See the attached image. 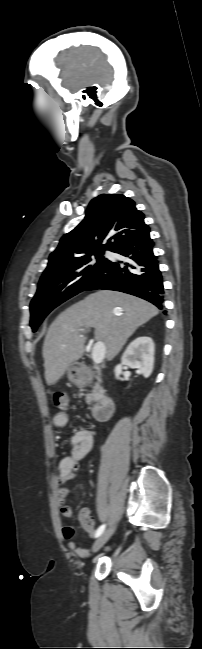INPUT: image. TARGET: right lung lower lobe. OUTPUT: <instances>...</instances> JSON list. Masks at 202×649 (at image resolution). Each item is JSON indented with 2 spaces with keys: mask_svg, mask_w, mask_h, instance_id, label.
<instances>
[{
  "mask_svg": "<svg viewBox=\"0 0 202 649\" xmlns=\"http://www.w3.org/2000/svg\"><path fill=\"white\" fill-rule=\"evenodd\" d=\"M153 244L149 228L118 244L112 252L121 254L128 260L108 261L84 291H121L143 298L163 309V282L158 261L153 254ZM120 264L125 266L122 268Z\"/></svg>",
  "mask_w": 202,
  "mask_h": 649,
  "instance_id": "right-lung-lower-lobe-1",
  "label": "right lung lower lobe"
}]
</instances>
